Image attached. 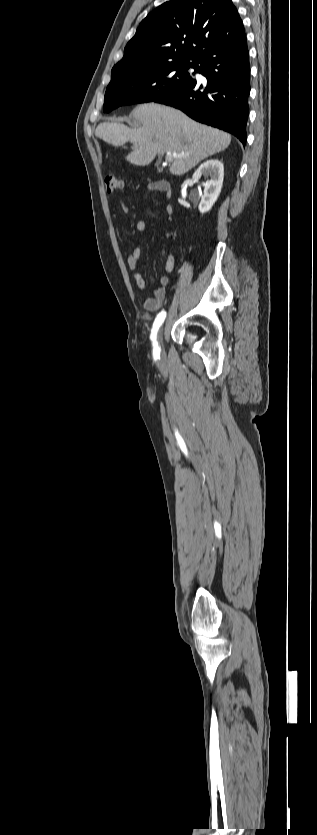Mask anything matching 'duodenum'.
Instances as JSON below:
<instances>
[{
    "mask_svg": "<svg viewBox=\"0 0 317 835\" xmlns=\"http://www.w3.org/2000/svg\"><path fill=\"white\" fill-rule=\"evenodd\" d=\"M159 187H160L159 189L161 191H163L167 197L171 196V188H170L169 183H167L165 181H159Z\"/></svg>",
    "mask_w": 317,
    "mask_h": 835,
    "instance_id": "1",
    "label": "duodenum"
}]
</instances>
